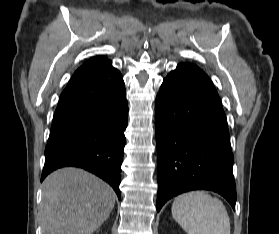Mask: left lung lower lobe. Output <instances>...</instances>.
<instances>
[{"label":"left lung lower lobe","instance_id":"obj_1","mask_svg":"<svg viewBox=\"0 0 279 234\" xmlns=\"http://www.w3.org/2000/svg\"><path fill=\"white\" fill-rule=\"evenodd\" d=\"M157 211L170 198L207 189L235 210L233 154L226 115L210 78L180 63L164 79L155 104Z\"/></svg>","mask_w":279,"mask_h":234}]
</instances>
